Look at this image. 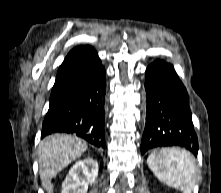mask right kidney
<instances>
[{
	"label": "right kidney",
	"instance_id": "ca27d5eb",
	"mask_svg": "<svg viewBox=\"0 0 221 193\" xmlns=\"http://www.w3.org/2000/svg\"><path fill=\"white\" fill-rule=\"evenodd\" d=\"M98 176V162L86 158L76 162L62 183L61 193H87L88 185Z\"/></svg>",
	"mask_w": 221,
	"mask_h": 193
}]
</instances>
